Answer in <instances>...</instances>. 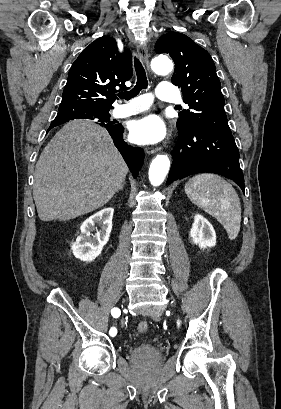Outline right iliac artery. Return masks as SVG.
I'll return each mask as SVG.
<instances>
[{
  "instance_id": "1",
  "label": "right iliac artery",
  "mask_w": 281,
  "mask_h": 409,
  "mask_svg": "<svg viewBox=\"0 0 281 409\" xmlns=\"http://www.w3.org/2000/svg\"><path fill=\"white\" fill-rule=\"evenodd\" d=\"M111 314H112L113 317L117 318V317L120 316V310H119L118 308H113V309L111 310ZM109 334H110L111 336H115V335L117 334L116 328H114V327L111 328L110 331H109Z\"/></svg>"
}]
</instances>
